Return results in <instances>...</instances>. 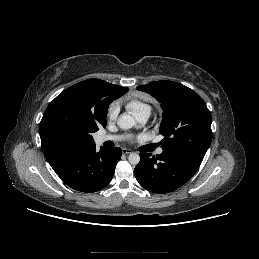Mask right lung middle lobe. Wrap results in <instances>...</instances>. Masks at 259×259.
<instances>
[{"label": "right lung middle lobe", "instance_id": "obj_1", "mask_svg": "<svg viewBox=\"0 0 259 259\" xmlns=\"http://www.w3.org/2000/svg\"><path fill=\"white\" fill-rule=\"evenodd\" d=\"M98 130L99 126L94 121L66 109H58L42 127V140L48 149L69 150L92 140L91 134Z\"/></svg>", "mask_w": 259, "mask_h": 259}]
</instances>
